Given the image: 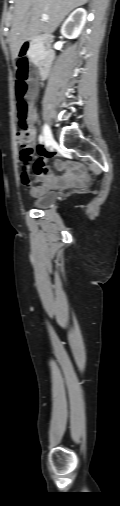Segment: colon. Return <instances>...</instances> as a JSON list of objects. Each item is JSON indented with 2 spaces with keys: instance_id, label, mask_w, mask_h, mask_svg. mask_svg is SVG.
Returning a JSON list of instances; mask_svg holds the SVG:
<instances>
[{
  "instance_id": "1",
  "label": "colon",
  "mask_w": 120,
  "mask_h": 506,
  "mask_svg": "<svg viewBox=\"0 0 120 506\" xmlns=\"http://www.w3.org/2000/svg\"><path fill=\"white\" fill-rule=\"evenodd\" d=\"M19 49L14 52V57L18 62L17 70V83H16V96H17V118L21 130L16 135V141L20 145V162L22 170L26 169L27 163L33 155V141L34 136L32 134V120L29 111V103L27 101V95L30 87L27 83L29 76L30 57L27 58L19 57Z\"/></svg>"
}]
</instances>
